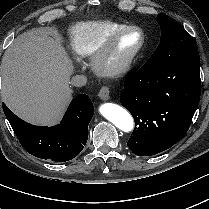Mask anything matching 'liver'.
<instances>
[{
    "instance_id": "obj_1",
    "label": "liver",
    "mask_w": 209,
    "mask_h": 209,
    "mask_svg": "<svg viewBox=\"0 0 209 209\" xmlns=\"http://www.w3.org/2000/svg\"><path fill=\"white\" fill-rule=\"evenodd\" d=\"M72 71L58 36L40 29L24 32L2 58V99L28 122L56 124L72 97Z\"/></svg>"
}]
</instances>
